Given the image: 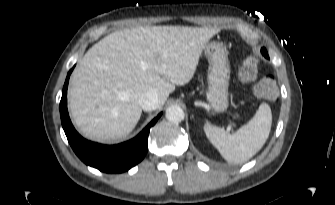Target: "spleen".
Returning a JSON list of instances; mask_svg holds the SVG:
<instances>
[{
	"label": "spleen",
	"mask_w": 335,
	"mask_h": 205,
	"mask_svg": "<svg viewBox=\"0 0 335 205\" xmlns=\"http://www.w3.org/2000/svg\"><path fill=\"white\" fill-rule=\"evenodd\" d=\"M271 125L270 106L262 103L254 117L233 134L209 124L204 126V131L225 160L243 163L263 147L269 137Z\"/></svg>",
	"instance_id": "spleen-1"
}]
</instances>
